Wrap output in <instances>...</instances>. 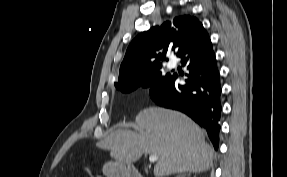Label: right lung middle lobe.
I'll use <instances>...</instances> for the list:
<instances>
[{
  "label": "right lung middle lobe",
  "instance_id": "obj_1",
  "mask_svg": "<svg viewBox=\"0 0 287 177\" xmlns=\"http://www.w3.org/2000/svg\"><path fill=\"white\" fill-rule=\"evenodd\" d=\"M162 65L158 66L157 68L153 69L149 73H147L144 77L139 79L138 81L127 83V84H122L115 86L117 90L123 92V93H128L131 92L138 87H149L151 88L152 86L156 85L157 83H160L167 79L171 74H163L161 72Z\"/></svg>",
  "mask_w": 287,
  "mask_h": 177
}]
</instances>
